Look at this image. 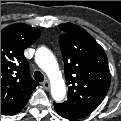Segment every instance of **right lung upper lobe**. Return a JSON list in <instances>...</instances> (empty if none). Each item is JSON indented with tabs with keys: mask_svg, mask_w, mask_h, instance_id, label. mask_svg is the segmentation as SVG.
Returning <instances> with one entry per match:
<instances>
[{
	"mask_svg": "<svg viewBox=\"0 0 121 121\" xmlns=\"http://www.w3.org/2000/svg\"><path fill=\"white\" fill-rule=\"evenodd\" d=\"M41 31L24 23L1 30V114L10 115L22 108L39 83L29 75L23 55Z\"/></svg>",
	"mask_w": 121,
	"mask_h": 121,
	"instance_id": "1",
	"label": "right lung upper lobe"
}]
</instances>
